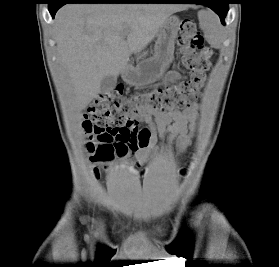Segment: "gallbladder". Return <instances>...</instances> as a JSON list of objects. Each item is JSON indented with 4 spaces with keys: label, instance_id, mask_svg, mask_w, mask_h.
I'll return each mask as SVG.
<instances>
[{
    "label": "gallbladder",
    "instance_id": "1",
    "mask_svg": "<svg viewBox=\"0 0 279 267\" xmlns=\"http://www.w3.org/2000/svg\"><path fill=\"white\" fill-rule=\"evenodd\" d=\"M117 83V79L114 75H107L101 80L100 92L106 93L112 91Z\"/></svg>",
    "mask_w": 279,
    "mask_h": 267
}]
</instances>
